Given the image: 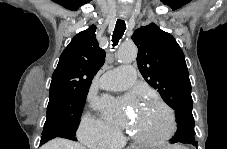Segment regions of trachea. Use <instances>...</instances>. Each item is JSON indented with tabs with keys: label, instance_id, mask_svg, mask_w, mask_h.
Masks as SVG:
<instances>
[{
	"label": "trachea",
	"instance_id": "trachea-1",
	"mask_svg": "<svg viewBox=\"0 0 227 149\" xmlns=\"http://www.w3.org/2000/svg\"><path fill=\"white\" fill-rule=\"evenodd\" d=\"M126 30V23L123 20H117L116 26L112 35L113 46H116L119 40L122 38L124 32Z\"/></svg>",
	"mask_w": 227,
	"mask_h": 149
}]
</instances>
